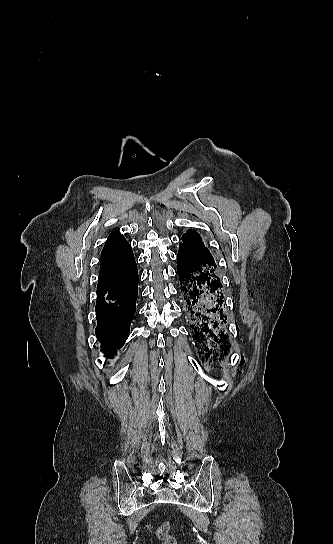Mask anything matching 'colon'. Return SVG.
Returning a JSON list of instances; mask_svg holds the SVG:
<instances>
[{"label": "colon", "instance_id": "1", "mask_svg": "<svg viewBox=\"0 0 333 544\" xmlns=\"http://www.w3.org/2000/svg\"><path fill=\"white\" fill-rule=\"evenodd\" d=\"M171 525L169 522H163L157 529L156 535L162 544H177L176 539L170 533Z\"/></svg>", "mask_w": 333, "mask_h": 544}]
</instances>
